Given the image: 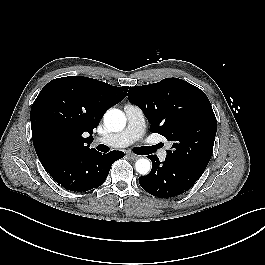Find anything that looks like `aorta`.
<instances>
[{
    "label": "aorta",
    "mask_w": 265,
    "mask_h": 265,
    "mask_svg": "<svg viewBox=\"0 0 265 265\" xmlns=\"http://www.w3.org/2000/svg\"><path fill=\"white\" fill-rule=\"evenodd\" d=\"M104 124L112 132H119L126 126L125 114L119 109H110L104 114ZM136 171L141 175H147L151 170V162L146 158H140L135 163Z\"/></svg>",
    "instance_id": "1"
}]
</instances>
